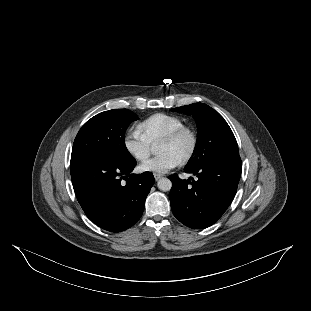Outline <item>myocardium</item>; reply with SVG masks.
<instances>
[{
	"label": "myocardium",
	"instance_id": "1",
	"mask_svg": "<svg viewBox=\"0 0 311 311\" xmlns=\"http://www.w3.org/2000/svg\"><path fill=\"white\" fill-rule=\"evenodd\" d=\"M185 134H189L191 136L192 145L189 152L181 160L183 164H187L193 160L198 152L200 146V133L198 128L193 124L184 123L160 140V143L174 144L177 143Z\"/></svg>",
	"mask_w": 311,
	"mask_h": 311
}]
</instances>
